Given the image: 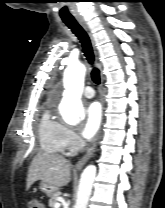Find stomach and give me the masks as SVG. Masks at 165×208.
<instances>
[{
    "label": "stomach",
    "instance_id": "1",
    "mask_svg": "<svg viewBox=\"0 0 165 208\" xmlns=\"http://www.w3.org/2000/svg\"><path fill=\"white\" fill-rule=\"evenodd\" d=\"M40 189L49 197L52 196L58 190L53 185L43 181L40 183Z\"/></svg>",
    "mask_w": 165,
    "mask_h": 208
}]
</instances>
